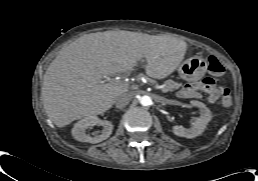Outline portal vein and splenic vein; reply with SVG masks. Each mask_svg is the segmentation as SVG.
I'll return each mask as SVG.
<instances>
[{"label": "portal vein and splenic vein", "instance_id": "portal-vein-and-splenic-vein-1", "mask_svg": "<svg viewBox=\"0 0 258 181\" xmlns=\"http://www.w3.org/2000/svg\"><path fill=\"white\" fill-rule=\"evenodd\" d=\"M110 81H111V83H117V80H110ZM160 89H161L162 92H165V93L168 92L166 87H161Z\"/></svg>", "mask_w": 258, "mask_h": 181}]
</instances>
